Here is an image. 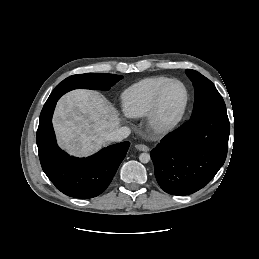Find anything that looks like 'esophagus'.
<instances>
[{"mask_svg":"<svg viewBox=\"0 0 259 259\" xmlns=\"http://www.w3.org/2000/svg\"><path fill=\"white\" fill-rule=\"evenodd\" d=\"M136 149H138L139 151H144L147 152L149 151V147L144 145V144H137L135 145Z\"/></svg>","mask_w":259,"mask_h":259,"instance_id":"esophagus-1","label":"esophagus"}]
</instances>
